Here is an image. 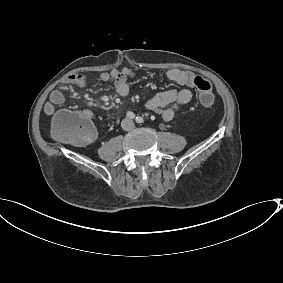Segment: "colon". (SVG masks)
Here are the masks:
<instances>
[{
    "label": "colon",
    "mask_w": 283,
    "mask_h": 283,
    "mask_svg": "<svg viewBox=\"0 0 283 283\" xmlns=\"http://www.w3.org/2000/svg\"><path fill=\"white\" fill-rule=\"evenodd\" d=\"M194 85L198 90L199 102L203 107L214 103V95L210 82L202 76H195ZM53 135L74 145H86L95 138V128L89 117L82 112L62 110L52 119Z\"/></svg>",
    "instance_id": "colon-1"
}]
</instances>
